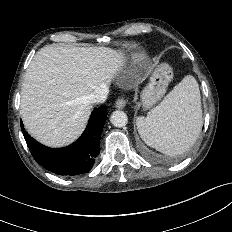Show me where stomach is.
<instances>
[{"label":"stomach","instance_id":"obj_1","mask_svg":"<svg viewBox=\"0 0 232 232\" xmlns=\"http://www.w3.org/2000/svg\"><path fill=\"white\" fill-rule=\"evenodd\" d=\"M173 78V71L167 63L156 65L147 86L140 94L141 104L145 109L154 107L166 93L167 86Z\"/></svg>","mask_w":232,"mask_h":232}]
</instances>
